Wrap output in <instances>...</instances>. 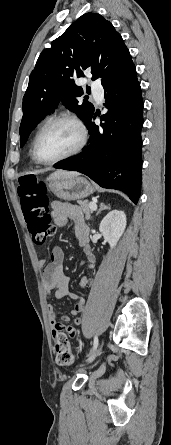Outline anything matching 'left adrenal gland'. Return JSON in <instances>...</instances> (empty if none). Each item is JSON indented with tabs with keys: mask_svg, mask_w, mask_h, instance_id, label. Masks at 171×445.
<instances>
[{
	"mask_svg": "<svg viewBox=\"0 0 171 445\" xmlns=\"http://www.w3.org/2000/svg\"><path fill=\"white\" fill-rule=\"evenodd\" d=\"M106 209H110V207H109V206H106V205L103 204V203H101V204H100V208H99V210L97 211L96 214H99L102 210H106Z\"/></svg>",
	"mask_w": 171,
	"mask_h": 445,
	"instance_id": "a2214340",
	"label": "left adrenal gland"
}]
</instances>
